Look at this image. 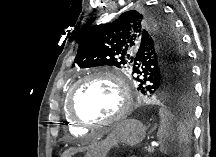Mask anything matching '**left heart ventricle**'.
<instances>
[{
  "label": "left heart ventricle",
  "mask_w": 216,
  "mask_h": 157,
  "mask_svg": "<svg viewBox=\"0 0 216 157\" xmlns=\"http://www.w3.org/2000/svg\"><path fill=\"white\" fill-rule=\"evenodd\" d=\"M73 105L76 114L84 120H106L120 107L119 90L108 80L91 79L76 89Z\"/></svg>",
  "instance_id": "obj_1"
}]
</instances>
